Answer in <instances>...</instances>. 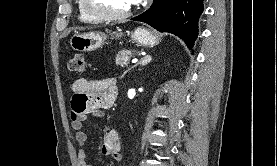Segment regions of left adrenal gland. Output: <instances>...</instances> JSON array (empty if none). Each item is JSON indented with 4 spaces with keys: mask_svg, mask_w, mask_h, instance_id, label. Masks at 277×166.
I'll use <instances>...</instances> for the list:
<instances>
[{
    "mask_svg": "<svg viewBox=\"0 0 277 166\" xmlns=\"http://www.w3.org/2000/svg\"><path fill=\"white\" fill-rule=\"evenodd\" d=\"M152 61V57L150 55H145L144 57H142L135 65H133L131 68H129L128 70H126L124 72V75L130 71L131 69H133L134 67H137L138 65L140 66H145L147 65L148 63H150Z\"/></svg>",
    "mask_w": 277,
    "mask_h": 166,
    "instance_id": "a2214340",
    "label": "left adrenal gland"
}]
</instances>
